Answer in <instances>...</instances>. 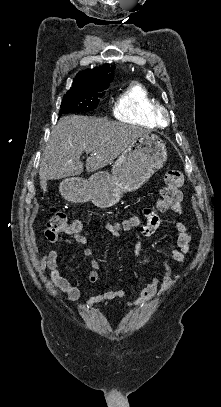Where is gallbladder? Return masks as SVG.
Wrapping results in <instances>:
<instances>
[{"instance_id":"bac80fb5","label":"gallbladder","mask_w":221,"mask_h":407,"mask_svg":"<svg viewBox=\"0 0 221 407\" xmlns=\"http://www.w3.org/2000/svg\"><path fill=\"white\" fill-rule=\"evenodd\" d=\"M40 185H41V187H42V188H45V187H46V185H47V183H46V182H42V181H41V182H40Z\"/></svg>"}]
</instances>
